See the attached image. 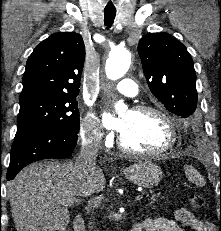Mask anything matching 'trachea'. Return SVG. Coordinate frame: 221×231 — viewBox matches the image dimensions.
Wrapping results in <instances>:
<instances>
[{
  "label": "trachea",
  "instance_id": "obj_1",
  "mask_svg": "<svg viewBox=\"0 0 221 231\" xmlns=\"http://www.w3.org/2000/svg\"><path fill=\"white\" fill-rule=\"evenodd\" d=\"M115 16H116V11L104 10V24L107 29H109L112 26Z\"/></svg>",
  "mask_w": 221,
  "mask_h": 231
}]
</instances>
